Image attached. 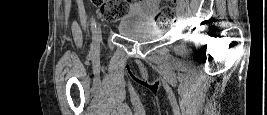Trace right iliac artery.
I'll return each mask as SVG.
<instances>
[{
	"mask_svg": "<svg viewBox=\"0 0 267 115\" xmlns=\"http://www.w3.org/2000/svg\"><path fill=\"white\" fill-rule=\"evenodd\" d=\"M96 22H95V19L92 20V23H91V30H92V33H93V40H96L95 39V34H96Z\"/></svg>",
	"mask_w": 267,
	"mask_h": 115,
	"instance_id": "right-iliac-artery-1",
	"label": "right iliac artery"
}]
</instances>
